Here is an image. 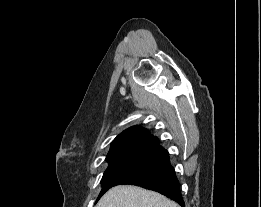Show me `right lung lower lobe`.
<instances>
[{
    "label": "right lung lower lobe",
    "mask_w": 261,
    "mask_h": 207,
    "mask_svg": "<svg viewBox=\"0 0 261 207\" xmlns=\"http://www.w3.org/2000/svg\"><path fill=\"white\" fill-rule=\"evenodd\" d=\"M124 184L137 185L146 189L157 191L184 207V201L179 188V182L174 168L169 160L158 164L154 168L138 175Z\"/></svg>",
    "instance_id": "obj_1"
}]
</instances>
